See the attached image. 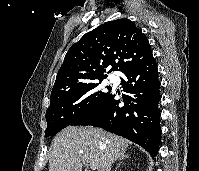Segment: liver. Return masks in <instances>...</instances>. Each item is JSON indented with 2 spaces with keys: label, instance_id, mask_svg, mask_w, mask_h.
I'll return each instance as SVG.
<instances>
[{
  "label": "liver",
  "instance_id": "liver-1",
  "mask_svg": "<svg viewBox=\"0 0 199 171\" xmlns=\"http://www.w3.org/2000/svg\"><path fill=\"white\" fill-rule=\"evenodd\" d=\"M128 145L127 139L99 128L68 126L52 142L49 171H82L89 163H96L98 171H111Z\"/></svg>",
  "mask_w": 199,
  "mask_h": 171
}]
</instances>
